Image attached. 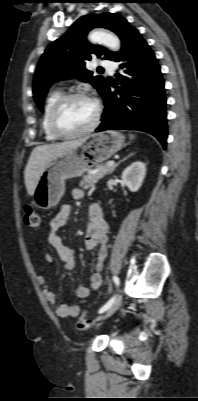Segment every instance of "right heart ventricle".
I'll list each match as a JSON object with an SVG mask.
<instances>
[{
	"label": "right heart ventricle",
	"mask_w": 198,
	"mask_h": 401,
	"mask_svg": "<svg viewBox=\"0 0 198 401\" xmlns=\"http://www.w3.org/2000/svg\"><path fill=\"white\" fill-rule=\"evenodd\" d=\"M62 95L63 93L61 90H54L49 93L44 104V109L41 119V129L43 131L45 139L48 141H55L59 138L51 131L48 119L52 106Z\"/></svg>",
	"instance_id": "1"
}]
</instances>
